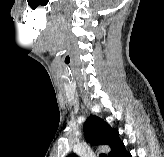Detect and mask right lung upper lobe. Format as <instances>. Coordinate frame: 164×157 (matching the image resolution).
<instances>
[{"label":"right lung upper lobe","mask_w":164,"mask_h":157,"mask_svg":"<svg viewBox=\"0 0 164 157\" xmlns=\"http://www.w3.org/2000/svg\"><path fill=\"white\" fill-rule=\"evenodd\" d=\"M84 134L88 142L93 145H107L111 148L108 157H113L114 152L120 146L122 141L119 139V133L108 123L97 116H90L84 123ZM67 157H77L71 154Z\"/></svg>","instance_id":"1"}]
</instances>
